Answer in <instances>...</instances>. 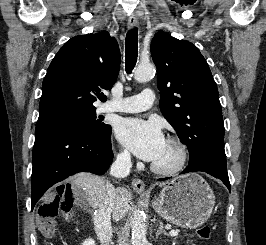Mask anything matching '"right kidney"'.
Returning <instances> with one entry per match:
<instances>
[{
    "label": "right kidney",
    "mask_w": 266,
    "mask_h": 245,
    "mask_svg": "<svg viewBox=\"0 0 266 245\" xmlns=\"http://www.w3.org/2000/svg\"><path fill=\"white\" fill-rule=\"evenodd\" d=\"M82 245H95L94 239H86V241H83Z\"/></svg>",
    "instance_id": "obj_1"
}]
</instances>
